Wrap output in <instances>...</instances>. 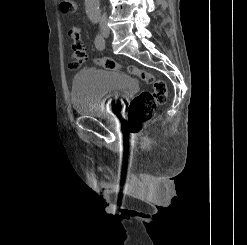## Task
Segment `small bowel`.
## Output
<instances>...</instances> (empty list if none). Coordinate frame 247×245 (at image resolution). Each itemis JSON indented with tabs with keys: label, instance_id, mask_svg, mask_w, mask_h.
<instances>
[{
	"label": "small bowel",
	"instance_id": "small-bowel-1",
	"mask_svg": "<svg viewBox=\"0 0 247 245\" xmlns=\"http://www.w3.org/2000/svg\"><path fill=\"white\" fill-rule=\"evenodd\" d=\"M65 13V12H64ZM72 30H75L80 33V30L78 28H72Z\"/></svg>",
	"mask_w": 247,
	"mask_h": 245
}]
</instances>
